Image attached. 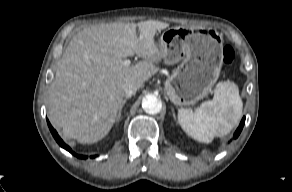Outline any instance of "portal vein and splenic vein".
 <instances>
[{
  "mask_svg": "<svg viewBox=\"0 0 292 192\" xmlns=\"http://www.w3.org/2000/svg\"><path fill=\"white\" fill-rule=\"evenodd\" d=\"M123 64H124L125 66H129V65L131 64V61H130V60H125V61L123 62Z\"/></svg>",
  "mask_w": 292,
  "mask_h": 192,
  "instance_id": "18ae733b",
  "label": "portal vein and splenic vein"
}]
</instances>
